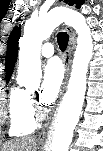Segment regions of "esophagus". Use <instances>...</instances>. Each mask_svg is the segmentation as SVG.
Instances as JSON below:
<instances>
[{
	"label": "esophagus",
	"instance_id": "obj_1",
	"mask_svg": "<svg viewBox=\"0 0 103 151\" xmlns=\"http://www.w3.org/2000/svg\"><path fill=\"white\" fill-rule=\"evenodd\" d=\"M67 32L69 34V45H68L66 52L64 54V57H63L65 76H64L63 85H62V88L60 91V101L62 99L63 93L65 92V90L67 88V82H68V77H69V73H70V66H71V51H72V47L74 45V40H75L74 31L71 28H68ZM47 131H48V127L45 126L43 128V130L40 132V134L38 135V141L42 142L46 139Z\"/></svg>",
	"mask_w": 103,
	"mask_h": 151
}]
</instances>
